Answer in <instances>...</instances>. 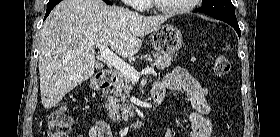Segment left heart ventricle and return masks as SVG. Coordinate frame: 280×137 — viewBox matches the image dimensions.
<instances>
[{
  "instance_id": "1",
  "label": "left heart ventricle",
  "mask_w": 280,
  "mask_h": 137,
  "mask_svg": "<svg viewBox=\"0 0 280 137\" xmlns=\"http://www.w3.org/2000/svg\"><path fill=\"white\" fill-rule=\"evenodd\" d=\"M159 2L165 7L175 8L185 5L187 0H159Z\"/></svg>"
}]
</instances>
